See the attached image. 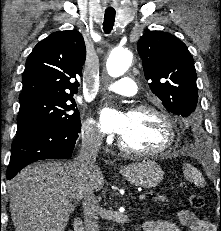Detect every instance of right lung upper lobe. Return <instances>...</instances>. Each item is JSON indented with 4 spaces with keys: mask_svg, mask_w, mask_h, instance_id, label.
Listing matches in <instances>:
<instances>
[{
    "mask_svg": "<svg viewBox=\"0 0 221 231\" xmlns=\"http://www.w3.org/2000/svg\"><path fill=\"white\" fill-rule=\"evenodd\" d=\"M85 58L84 39L77 30L50 34L34 47L26 60L19 99L76 94Z\"/></svg>",
    "mask_w": 221,
    "mask_h": 231,
    "instance_id": "1",
    "label": "right lung upper lobe"
}]
</instances>
